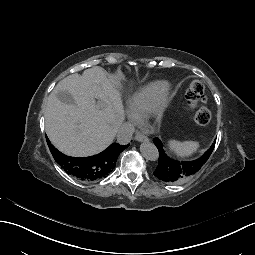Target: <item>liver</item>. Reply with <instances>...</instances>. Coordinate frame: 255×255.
I'll return each mask as SVG.
<instances>
[{"mask_svg": "<svg viewBox=\"0 0 255 255\" xmlns=\"http://www.w3.org/2000/svg\"><path fill=\"white\" fill-rule=\"evenodd\" d=\"M68 91L76 105L62 103L56 94ZM95 98L99 99L96 103ZM124 109L119 91L102 67L86 69L61 80L48 97L45 130L51 143L72 157H88L105 150L114 140Z\"/></svg>", "mask_w": 255, "mask_h": 255, "instance_id": "liver-1", "label": "liver"}]
</instances>
